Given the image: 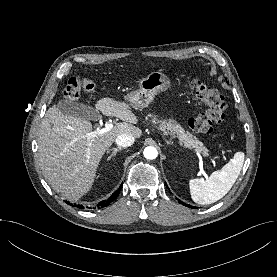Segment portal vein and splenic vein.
I'll list each match as a JSON object with an SVG mask.
<instances>
[{
    "mask_svg": "<svg viewBox=\"0 0 277 277\" xmlns=\"http://www.w3.org/2000/svg\"><path fill=\"white\" fill-rule=\"evenodd\" d=\"M112 128H113V124H111L110 122H106L104 128L98 129V130L93 131V132H90V133H87V134H86V137H87L88 139L97 137V136H99V135H101V134H103V133H105V132L110 131ZM196 151H198V150H196ZM198 152H199V151H198ZM204 176L207 177L206 174H204Z\"/></svg>",
    "mask_w": 277,
    "mask_h": 277,
    "instance_id": "portal-vein-and-splenic-vein-1",
    "label": "portal vein and splenic vein"
}]
</instances>
